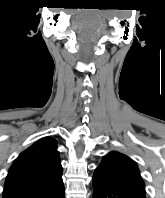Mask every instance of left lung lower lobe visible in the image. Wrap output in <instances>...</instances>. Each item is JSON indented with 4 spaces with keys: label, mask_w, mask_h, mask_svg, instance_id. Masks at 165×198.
<instances>
[{
    "label": "left lung lower lobe",
    "mask_w": 165,
    "mask_h": 198,
    "mask_svg": "<svg viewBox=\"0 0 165 198\" xmlns=\"http://www.w3.org/2000/svg\"><path fill=\"white\" fill-rule=\"evenodd\" d=\"M94 198H146L145 195L124 188L98 171L93 175Z\"/></svg>",
    "instance_id": "0a47b994"
}]
</instances>
